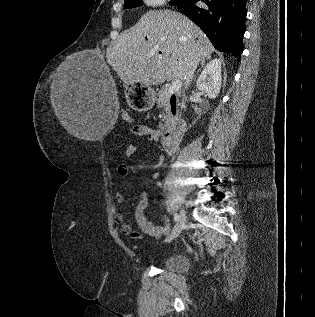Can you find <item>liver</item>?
Returning <instances> with one entry per match:
<instances>
[{
	"instance_id": "obj_1",
	"label": "liver",
	"mask_w": 315,
	"mask_h": 317,
	"mask_svg": "<svg viewBox=\"0 0 315 317\" xmlns=\"http://www.w3.org/2000/svg\"><path fill=\"white\" fill-rule=\"evenodd\" d=\"M213 51L206 35L186 16L168 9L150 10L116 45L107 49L106 59L125 84L140 82L149 86L166 80H184L192 64L197 66L200 59ZM70 63L71 58L61 67ZM52 104L63 127L81 138L80 122L58 100Z\"/></svg>"
}]
</instances>
